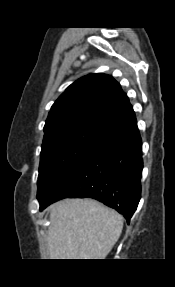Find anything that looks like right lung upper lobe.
<instances>
[{
  "label": "right lung upper lobe",
  "instance_id": "cb5924a9",
  "mask_svg": "<svg viewBox=\"0 0 175 287\" xmlns=\"http://www.w3.org/2000/svg\"><path fill=\"white\" fill-rule=\"evenodd\" d=\"M135 116L128 97L110 75L95 73L72 83L55 101L44 132L79 123H105L116 126Z\"/></svg>",
  "mask_w": 175,
  "mask_h": 287
}]
</instances>
